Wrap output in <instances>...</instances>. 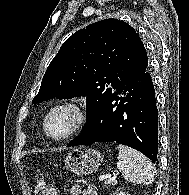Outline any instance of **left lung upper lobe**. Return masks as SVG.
Segmentation results:
<instances>
[{"mask_svg": "<svg viewBox=\"0 0 189 195\" xmlns=\"http://www.w3.org/2000/svg\"><path fill=\"white\" fill-rule=\"evenodd\" d=\"M147 67V53L136 31L114 18L101 20L63 43L32 103L86 96L89 119L117 88Z\"/></svg>", "mask_w": 189, "mask_h": 195, "instance_id": "left-lung-upper-lobe-1", "label": "left lung upper lobe"}]
</instances>
